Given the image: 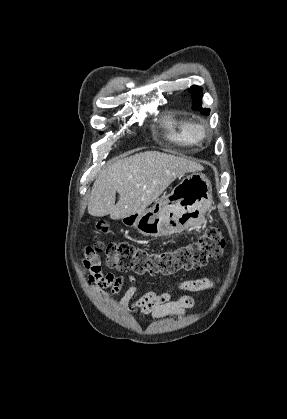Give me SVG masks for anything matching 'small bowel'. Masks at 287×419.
Masks as SVG:
<instances>
[{
	"mask_svg": "<svg viewBox=\"0 0 287 419\" xmlns=\"http://www.w3.org/2000/svg\"><path fill=\"white\" fill-rule=\"evenodd\" d=\"M81 267L88 272V281L95 282L97 288L95 292L101 297H111L117 294L125 283L124 276H116L113 273L103 275L101 273L100 258L86 249L81 259ZM212 282L207 278L188 279L180 283V288L187 291H200L209 288ZM110 288L109 290H105ZM137 291V280L135 277H129V287L126 290L121 305L125 306L132 299ZM193 306V299L190 296H183L177 301H171V291L168 289L161 294L153 290H148L138 300H136L129 310L137 312L142 316H152L155 319L183 315Z\"/></svg>",
	"mask_w": 287,
	"mask_h": 419,
	"instance_id": "1",
	"label": "small bowel"
}]
</instances>
